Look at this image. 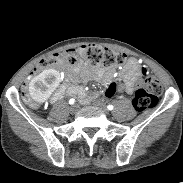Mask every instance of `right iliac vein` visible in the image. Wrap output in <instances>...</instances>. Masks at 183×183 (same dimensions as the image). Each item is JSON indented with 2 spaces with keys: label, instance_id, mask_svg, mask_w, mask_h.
<instances>
[{
  "label": "right iliac vein",
  "instance_id": "obj_1",
  "mask_svg": "<svg viewBox=\"0 0 183 183\" xmlns=\"http://www.w3.org/2000/svg\"><path fill=\"white\" fill-rule=\"evenodd\" d=\"M77 110H78V105L77 104H74L70 107V111L73 112V113L76 112Z\"/></svg>",
  "mask_w": 183,
  "mask_h": 183
}]
</instances>
